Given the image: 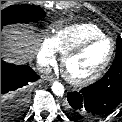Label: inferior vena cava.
<instances>
[{
	"label": "inferior vena cava",
	"instance_id": "obj_1",
	"mask_svg": "<svg viewBox=\"0 0 122 122\" xmlns=\"http://www.w3.org/2000/svg\"><path fill=\"white\" fill-rule=\"evenodd\" d=\"M36 68L40 73L47 74L51 72V67L47 64H38Z\"/></svg>",
	"mask_w": 122,
	"mask_h": 122
}]
</instances>
